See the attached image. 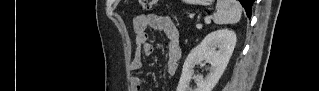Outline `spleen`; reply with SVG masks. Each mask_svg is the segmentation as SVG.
Wrapping results in <instances>:
<instances>
[{"label": "spleen", "mask_w": 319, "mask_h": 91, "mask_svg": "<svg viewBox=\"0 0 319 91\" xmlns=\"http://www.w3.org/2000/svg\"><path fill=\"white\" fill-rule=\"evenodd\" d=\"M242 6L237 0H218L213 14L215 24H235L239 22Z\"/></svg>", "instance_id": "obj_1"}]
</instances>
